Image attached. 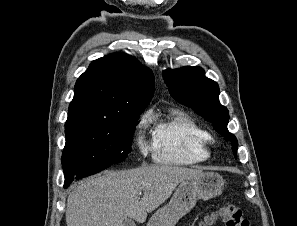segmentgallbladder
Wrapping results in <instances>:
<instances>
[{
  "mask_svg": "<svg viewBox=\"0 0 297 226\" xmlns=\"http://www.w3.org/2000/svg\"><path fill=\"white\" fill-rule=\"evenodd\" d=\"M123 226H136V225H135V222L132 219L127 218V219L124 220Z\"/></svg>",
  "mask_w": 297,
  "mask_h": 226,
  "instance_id": "gallbladder-1",
  "label": "gallbladder"
}]
</instances>
